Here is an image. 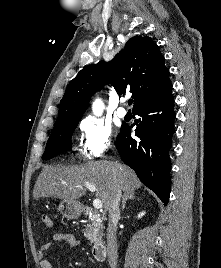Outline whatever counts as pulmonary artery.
<instances>
[{
  "mask_svg": "<svg viewBox=\"0 0 221 268\" xmlns=\"http://www.w3.org/2000/svg\"><path fill=\"white\" fill-rule=\"evenodd\" d=\"M126 114H127V111H126V109L124 107H119L117 109V115H118V117L124 118L126 116Z\"/></svg>",
  "mask_w": 221,
  "mask_h": 268,
  "instance_id": "1",
  "label": "pulmonary artery"
}]
</instances>
